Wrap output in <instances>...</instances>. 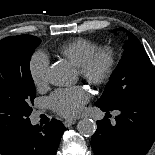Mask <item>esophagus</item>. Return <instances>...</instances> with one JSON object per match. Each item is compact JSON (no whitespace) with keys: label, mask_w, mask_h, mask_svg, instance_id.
<instances>
[{"label":"esophagus","mask_w":155,"mask_h":155,"mask_svg":"<svg viewBox=\"0 0 155 155\" xmlns=\"http://www.w3.org/2000/svg\"><path fill=\"white\" fill-rule=\"evenodd\" d=\"M76 123V120L75 119H67L64 121V125L66 127H70L71 125H74Z\"/></svg>","instance_id":"1"}]
</instances>
